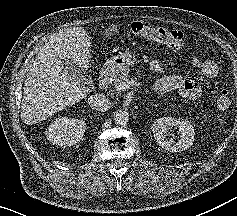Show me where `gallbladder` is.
Instances as JSON below:
<instances>
[{
  "label": "gallbladder",
  "instance_id": "bac80fb5",
  "mask_svg": "<svg viewBox=\"0 0 237 216\" xmlns=\"http://www.w3.org/2000/svg\"><path fill=\"white\" fill-rule=\"evenodd\" d=\"M81 81H82L84 84H89V81L84 80L83 78L81 79Z\"/></svg>",
  "mask_w": 237,
  "mask_h": 216
}]
</instances>
